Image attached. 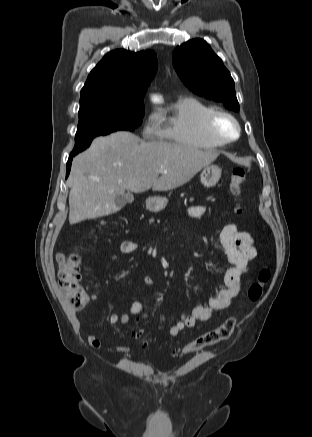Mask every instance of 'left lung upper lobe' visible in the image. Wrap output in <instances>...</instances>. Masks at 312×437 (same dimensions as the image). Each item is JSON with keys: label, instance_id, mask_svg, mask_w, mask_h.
Returning <instances> with one entry per match:
<instances>
[{"label": "left lung upper lobe", "instance_id": "obj_1", "mask_svg": "<svg viewBox=\"0 0 312 437\" xmlns=\"http://www.w3.org/2000/svg\"><path fill=\"white\" fill-rule=\"evenodd\" d=\"M172 61L180 79L194 93L239 111L234 81L206 41L197 38L178 46Z\"/></svg>", "mask_w": 312, "mask_h": 437}]
</instances>
